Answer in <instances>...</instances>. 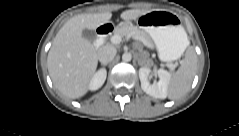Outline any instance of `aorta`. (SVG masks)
Segmentation results:
<instances>
[{
	"label": "aorta",
	"instance_id": "aorta-1",
	"mask_svg": "<svg viewBox=\"0 0 239 136\" xmlns=\"http://www.w3.org/2000/svg\"><path fill=\"white\" fill-rule=\"evenodd\" d=\"M131 59H132V55L130 53H128V52L123 53L122 60L124 62H130Z\"/></svg>",
	"mask_w": 239,
	"mask_h": 136
}]
</instances>
